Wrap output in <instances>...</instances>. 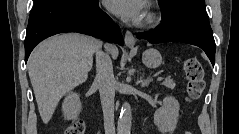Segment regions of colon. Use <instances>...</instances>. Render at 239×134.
Returning <instances> with one entry per match:
<instances>
[{
    "label": "colon",
    "instance_id": "1",
    "mask_svg": "<svg viewBox=\"0 0 239 134\" xmlns=\"http://www.w3.org/2000/svg\"><path fill=\"white\" fill-rule=\"evenodd\" d=\"M183 69L187 76L186 94L187 99L192 101L198 99L206 86L205 71L201 62L196 58H187L183 62ZM85 124L82 121H76L71 124L64 134H83Z\"/></svg>",
    "mask_w": 239,
    "mask_h": 134
}]
</instances>
